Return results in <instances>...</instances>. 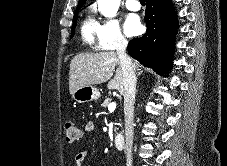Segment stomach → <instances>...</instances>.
Segmentation results:
<instances>
[{
    "mask_svg": "<svg viewBox=\"0 0 227 166\" xmlns=\"http://www.w3.org/2000/svg\"><path fill=\"white\" fill-rule=\"evenodd\" d=\"M72 98L78 103L96 101L100 98V92L94 86H84L78 88L72 94Z\"/></svg>",
    "mask_w": 227,
    "mask_h": 166,
    "instance_id": "0dacf381",
    "label": "stomach"
}]
</instances>
